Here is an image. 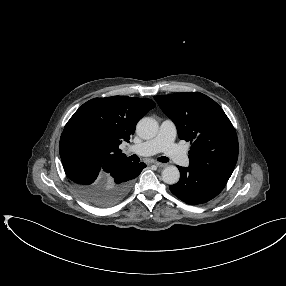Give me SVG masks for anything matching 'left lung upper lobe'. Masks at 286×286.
<instances>
[{
  "label": "left lung upper lobe",
  "instance_id": "1",
  "mask_svg": "<svg viewBox=\"0 0 286 286\" xmlns=\"http://www.w3.org/2000/svg\"><path fill=\"white\" fill-rule=\"evenodd\" d=\"M154 99L176 124L179 137L192 142L189 166L228 180L238 158V139L222 108L199 92L155 96Z\"/></svg>",
  "mask_w": 286,
  "mask_h": 286
}]
</instances>
